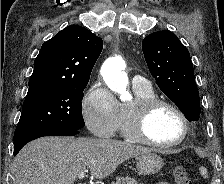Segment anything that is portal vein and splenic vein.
<instances>
[{
    "label": "portal vein and splenic vein",
    "instance_id": "portal-vein-and-splenic-vein-1",
    "mask_svg": "<svg viewBox=\"0 0 224 184\" xmlns=\"http://www.w3.org/2000/svg\"><path fill=\"white\" fill-rule=\"evenodd\" d=\"M85 172H86V171H81V172L78 174V178H79V179H83L84 176H85Z\"/></svg>",
    "mask_w": 224,
    "mask_h": 184
}]
</instances>
